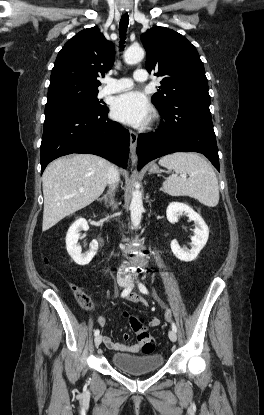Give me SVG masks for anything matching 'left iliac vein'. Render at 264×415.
<instances>
[{
	"label": "left iliac vein",
	"instance_id": "1",
	"mask_svg": "<svg viewBox=\"0 0 264 415\" xmlns=\"http://www.w3.org/2000/svg\"><path fill=\"white\" fill-rule=\"evenodd\" d=\"M168 336H169V338H170V340H171L172 342H176V340H177V335H176V332H175V331L170 330V331H169V333H168Z\"/></svg>",
	"mask_w": 264,
	"mask_h": 415
}]
</instances>
